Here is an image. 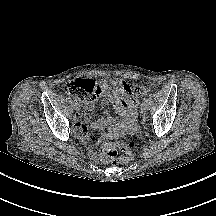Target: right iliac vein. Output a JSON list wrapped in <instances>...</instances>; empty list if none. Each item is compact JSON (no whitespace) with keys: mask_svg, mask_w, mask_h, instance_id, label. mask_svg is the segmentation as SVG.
Listing matches in <instances>:
<instances>
[{"mask_svg":"<svg viewBox=\"0 0 216 216\" xmlns=\"http://www.w3.org/2000/svg\"><path fill=\"white\" fill-rule=\"evenodd\" d=\"M74 106H75V110L80 111V109H81L80 103L79 104H75Z\"/></svg>","mask_w":216,"mask_h":216,"instance_id":"1","label":"right iliac vein"}]
</instances>
